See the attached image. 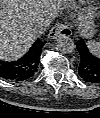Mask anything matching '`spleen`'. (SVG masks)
I'll list each match as a JSON object with an SVG mask.
<instances>
[{
  "label": "spleen",
  "instance_id": "spleen-1",
  "mask_svg": "<svg viewBox=\"0 0 100 118\" xmlns=\"http://www.w3.org/2000/svg\"><path fill=\"white\" fill-rule=\"evenodd\" d=\"M88 47L94 55L98 56L100 54V44L98 42H88Z\"/></svg>",
  "mask_w": 100,
  "mask_h": 118
}]
</instances>
